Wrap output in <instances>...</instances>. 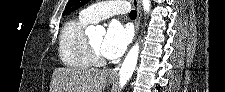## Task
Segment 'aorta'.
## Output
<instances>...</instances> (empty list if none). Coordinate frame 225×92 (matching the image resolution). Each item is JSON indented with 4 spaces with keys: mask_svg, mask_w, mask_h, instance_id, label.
<instances>
[{
    "mask_svg": "<svg viewBox=\"0 0 225 92\" xmlns=\"http://www.w3.org/2000/svg\"><path fill=\"white\" fill-rule=\"evenodd\" d=\"M144 11L149 12L150 10V1L149 0H142ZM91 32L97 31H103L104 29L100 26L93 27L91 26L88 28ZM138 55H139V45L136 43L128 52L127 56L125 57L122 66L119 71V86L120 88H123L126 83L131 78L135 67L137 65L138 61Z\"/></svg>",
    "mask_w": 225,
    "mask_h": 92,
    "instance_id": "obj_1",
    "label": "aorta"
}]
</instances>
